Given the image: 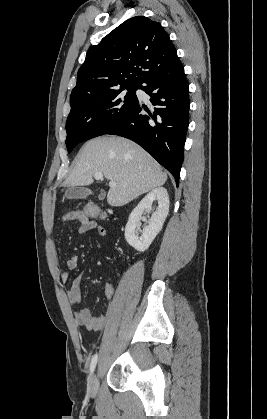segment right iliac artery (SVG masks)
I'll list each match as a JSON object with an SVG mask.
<instances>
[{
    "label": "right iliac artery",
    "instance_id": "obj_1",
    "mask_svg": "<svg viewBox=\"0 0 267 419\" xmlns=\"http://www.w3.org/2000/svg\"><path fill=\"white\" fill-rule=\"evenodd\" d=\"M97 359H98V355L95 354L93 356L92 361H91V364H90V373H93V371H94V369L96 367V364H97Z\"/></svg>",
    "mask_w": 267,
    "mask_h": 419
}]
</instances>
